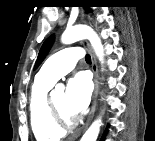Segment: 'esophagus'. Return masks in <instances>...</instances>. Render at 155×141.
<instances>
[{
    "instance_id": "34e87169",
    "label": "esophagus",
    "mask_w": 155,
    "mask_h": 141,
    "mask_svg": "<svg viewBox=\"0 0 155 141\" xmlns=\"http://www.w3.org/2000/svg\"><path fill=\"white\" fill-rule=\"evenodd\" d=\"M84 46L91 55V60H92L91 68H92V72L94 74V93H93V98H92V107H91V111H90L88 120L85 124V129H86L88 127L89 123L91 122L94 112L96 110L97 97H98V93H99V82H98V67H97L95 55L87 42L84 43Z\"/></svg>"
}]
</instances>
